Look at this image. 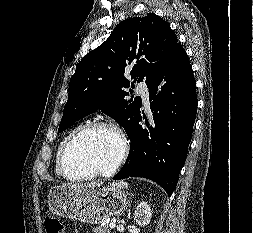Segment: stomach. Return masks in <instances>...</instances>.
I'll use <instances>...</instances> for the list:
<instances>
[{
    "label": "stomach",
    "instance_id": "0dacf381",
    "mask_svg": "<svg viewBox=\"0 0 253 233\" xmlns=\"http://www.w3.org/2000/svg\"><path fill=\"white\" fill-rule=\"evenodd\" d=\"M47 203L54 214L86 224H99L122 214L129 201L121 187L102 184L52 187Z\"/></svg>",
    "mask_w": 253,
    "mask_h": 233
}]
</instances>
